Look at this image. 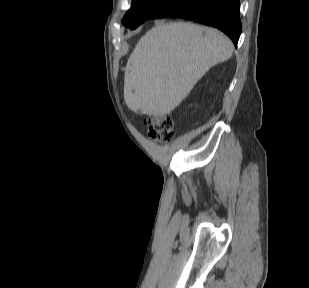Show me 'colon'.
Segmentation results:
<instances>
[{
  "mask_svg": "<svg viewBox=\"0 0 309 288\" xmlns=\"http://www.w3.org/2000/svg\"><path fill=\"white\" fill-rule=\"evenodd\" d=\"M148 137L154 143H169L174 137L173 121L169 116L159 115L145 119Z\"/></svg>",
  "mask_w": 309,
  "mask_h": 288,
  "instance_id": "5ec220e1",
  "label": "colon"
}]
</instances>
